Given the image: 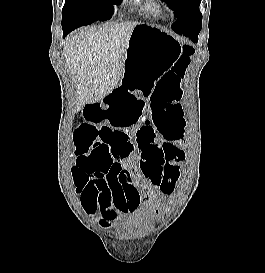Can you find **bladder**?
Wrapping results in <instances>:
<instances>
[{"label":"bladder","mask_w":265,"mask_h":273,"mask_svg":"<svg viewBox=\"0 0 265 273\" xmlns=\"http://www.w3.org/2000/svg\"><path fill=\"white\" fill-rule=\"evenodd\" d=\"M153 222L150 216L141 210H135L129 213V220L124 226L123 232L126 235L145 233L151 229Z\"/></svg>","instance_id":"obj_1"}]
</instances>
